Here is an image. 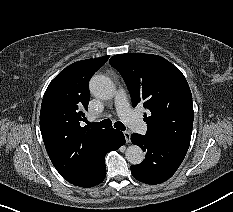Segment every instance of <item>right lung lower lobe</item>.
I'll return each instance as SVG.
<instances>
[{"label":"right lung lower lobe","mask_w":233,"mask_h":212,"mask_svg":"<svg viewBox=\"0 0 233 212\" xmlns=\"http://www.w3.org/2000/svg\"><path fill=\"white\" fill-rule=\"evenodd\" d=\"M125 143L121 131L109 128L97 146L89 167L70 183L80 187H92L101 183L106 176L105 155L111 150H117Z\"/></svg>","instance_id":"98d812e1"}]
</instances>
